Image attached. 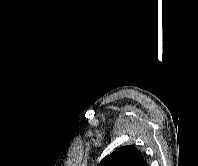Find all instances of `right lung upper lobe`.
Returning <instances> with one entry per match:
<instances>
[{
  "label": "right lung upper lobe",
  "mask_w": 198,
  "mask_h": 166,
  "mask_svg": "<svg viewBox=\"0 0 198 166\" xmlns=\"http://www.w3.org/2000/svg\"><path fill=\"white\" fill-rule=\"evenodd\" d=\"M98 166H147V162L136 147L129 145L106 156Z\"/></svg>",
  "instance_id": "1"
}]
</instances>
